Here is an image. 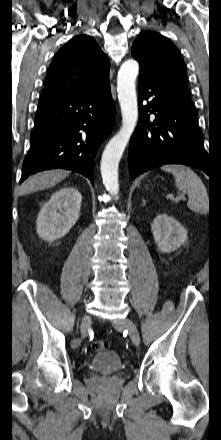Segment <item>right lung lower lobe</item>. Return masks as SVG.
<instances>
[{"mask_svg": "<svg viewBox=\"0 0 221 440\" xmlns=\"http://www.w3.org/2000/svg\"><path fill=\"white\" fill-rule=\"evenodd\" d=\"M115 114L110 85L94 93L41 100L20 183L39 171L63 168L83 174L93 185L94 159L113 129Z\"/></svg>", "mask_w": 221, "mask_h": 440, "instance_id": "obj_1", "label": "right lung lower lobe"}]
</instances>
